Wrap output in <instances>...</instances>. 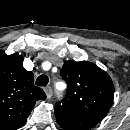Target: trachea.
Instances as JSON below:
<instances>
[{
	"mask_svg": "<svg viewBox=\"0 0 130 130\" xmlns=\"http://www.w3.org/2000/svg\"><path fill=\"white\" fill-rule=\"evenodd\" d=\"M49 82V78L46 75H40L37 79H36V85L37 86H41L44 87L48 84Z\"/></svg>",
	"mask_w": 130,
	"mask_h": 130,
	"instance_id": "trachea-1",
	"label": "trachea"
}]
</instances>
